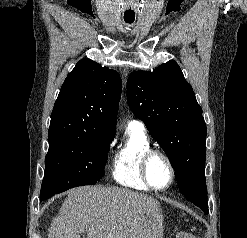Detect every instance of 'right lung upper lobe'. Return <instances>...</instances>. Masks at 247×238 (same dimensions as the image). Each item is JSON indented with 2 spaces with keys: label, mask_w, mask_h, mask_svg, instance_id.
I'll return each mask as SVG.
<instances>
[{
  "label": "right lung upper lobe",
  "mask_w": 247,
  "mask_h": 238,
  "mask_svg": "<svg viewBox=\"0 0 247 238\" xmlns=\"http://www.w3.org/2000/svg\"><path fill=\"white\" fill-rule=\"evenodd\" d=\"M121 89L116 71L90 59L80 60L61 87L48 136L95 131L114 138Z\"/></svg>",
  "instance_id": "1"
}]
</instances>
